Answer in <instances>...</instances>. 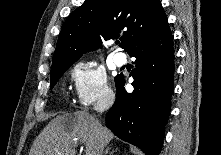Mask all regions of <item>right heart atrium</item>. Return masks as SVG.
<instances>
[{"label": "right heart atrium", "mask_w": 221, "mask_h": 155, "mask_svg": "<svg viewBox=\"0 0 221 155\" xmlns=\"http://www.w3.org/2000/svg\"><path fill=\"white\" fill-rule=\"evenodd\" d=\"M76 102L82 107L109 104L114 100V92L107 75L96 62L82 60L70 72Z\"/></svg>", "instance_id": "right-heart-atrium-1"}]
</instances>
